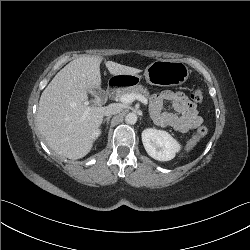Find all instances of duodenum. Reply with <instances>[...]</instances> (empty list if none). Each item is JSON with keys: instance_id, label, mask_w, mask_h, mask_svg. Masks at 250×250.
<instances>
[{"instance_id": "1", "label": "duodenum", "mask_w": 250, "mask_h": 250, "mask_svg": "<svg viewBox=\"0 0 250 250\" xmlns=\"http://www.w3.org/2000/svg\"><path fill=\"white\" fill-rule=\"evenodd\" d=\"M120 85H121L120 80H115V81L110 82L107 88V94L111 96Z\"/></svg>"}]
</instances>
